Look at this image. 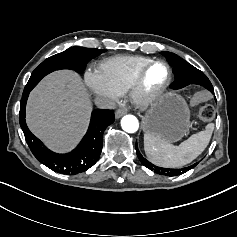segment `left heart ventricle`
Returning <instances> with one entry per match:
<instances>
[{"label": "left heart ventricle", "mask_w": 237, "mask_h": 237, "mask_svg": "<svg viewBox=\"0 0 237 237\" xmlns=\"http://www.w3.org/2000/svg\"><path fill=\"white\" fill-rule=\"evenodd\" d=\"M167 75L166 68L163 65L156 64L147 72L145 84L147 89L153 90L159 87L165 80Z\"/></svg>", "instance_id": "1"}]
</instances>
